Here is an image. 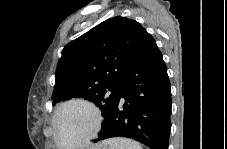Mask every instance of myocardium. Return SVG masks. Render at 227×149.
I'll return each mask as SVG.
<instances>
[{"instance_id":"myocardium-1","label":"myocardium","mask_w":227,"mask_h":149,"mask_svg":"<svg viewBox=\"0 0 227 149\" xmlns=\"http://www.w3.org/2000/svg\"><path fill=\"white\" fill-rule=\"evenodd\" d=\"M72 105H81L88 108L92 112L94 123L90 133L86 137H84L81 141L77 143L64 145V144H61L58 139L57 119L63 109ZM102 122H103L102 113L94 103L81 98H74V99L67 100L57 107L52 117V133H53L54 143L57 146L71 147V148L86 146L97 136L98 132L100 131Z\"/></svg>"}]
</instances>
